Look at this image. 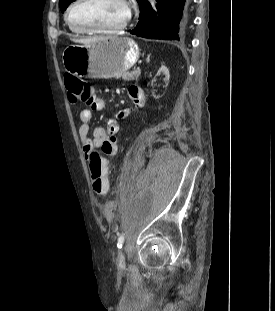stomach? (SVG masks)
<instances>
[{"instance_id": "stomach-1", "label": "stomach", "mask_w": 275, "mask_h": 311, "mask_svg": "<svg viewBox=\"0 0 275 311\" xmlns=\"http://www.w3.org/2000/svg\"><path fill=\"white\" fill-rule=\"evenodd\" d=\"M140 50L130 38L110 37L90 44H71L62 53L65 70L76 77H119L135 65Z\"/></svg>"}]
</instances>
